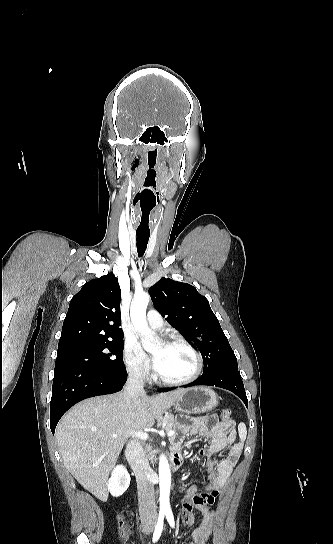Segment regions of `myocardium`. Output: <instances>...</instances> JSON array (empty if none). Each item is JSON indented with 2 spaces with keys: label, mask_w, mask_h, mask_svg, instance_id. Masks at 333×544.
<instances>
[{
  "label": "myocardium",
  "mask_w": 333,
  "mask_h": 544,
  "mask_svg": "<svg viewBox=\"0 0 333 544\" xmlns=\"http://www.w3.org/2000/svg\"><path fill=\"white\" fill-rule=\"evenodd\" d=\"M165 344H167L169 346L179 345V346H182V347L186 348L187 350H189L195 357L196 367H195L194 372L189 377H187L185 379H181V380H168V379H165V378H163V377H161L159 375V373L156 370V367H154L153 378L155 379V381L162 384V385H165V386L175 387V386L188 385V384L194 382L195 380H197L200 377V375L202 374L203 369H204V360H203V357H202L201 353L193 345H191L188 341H186L185 339H182V338L170 339V340L166 341Z\"/></svg>",
  "instance_id": "obj_1"
}]
</instances>
